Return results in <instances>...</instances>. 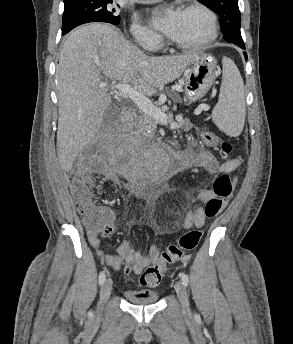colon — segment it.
<instances>
[{
	"instance_id": "1",
	"label": "colon",
	"mask_w": 293,
	"mask_h": 344,
	"mask_svg": "<svg viewBox=\"0 0 293 344\" xmlns=\"http://www.w3.org/2000/svg\"><path fill=\"white\" fill-rule=\"evenodd\" d=\"M201 137L204 143L218 149L224 156L230 155L232 145L223 142L212 131L203 130ZM91 176H77L72 183V194L76 200V209L91 236H107L113 231L112 216L106 209L95 206L92 200ZM233 190V182L227 173L221 174L213 184L214 196L205 205L207 217L216 216L222 209L223 202ZM202 230L192 229L185 232L176 243L169 245L158 260L142 274L141 283L149 288H156L161 282L166 267L181 260L187 253L195 250L201 240Z\"/></svg>"
}]
</instances>
